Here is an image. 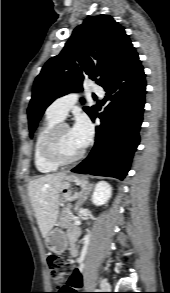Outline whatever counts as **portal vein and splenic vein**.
I'll return each mask as SVG.
<instances>
[{
    "label": "portal vein and splenic vein",
    "mask_w": 170,
    "mask_h": 293,
    "mask_svg": "<svg viewBox=\"0 0 170 293\" xmlns=\"http://www.w3.org/2000/svg\"><path fill=\"white\" fill-rule=\"evenodd\" d=\"M74 224L78 225V224H80V221L76 220V221H74Z\"/></svg>",
    "instance_id": "18ae733b"
}]
</instances>
